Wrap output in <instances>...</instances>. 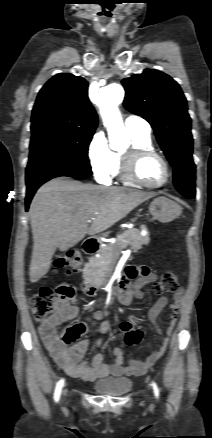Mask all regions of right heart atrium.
I'll list each match as a JSON object with an SVG mask.
<instances>
[{"label":"right heart atrium","instance_id":"1","mask_svg":"<svg viewBox=\"0 0 212 438\" xmlns=\"http://www.w3.org/2000/svg\"><path fill=\"white\" fill-rule=\"evenodd\" d=\"M87 158L96 180L108 183L114 169V157L102 131L95 132L91 137L87 147Z\"/></svg>","mask_w":212,"mask_h":438}]
</instances>
